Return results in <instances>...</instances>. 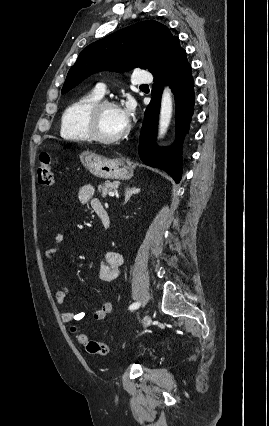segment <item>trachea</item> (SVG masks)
I'll return each instance as SVG.
<instances>
[{"mask_svg": "<svg viewBox=\"0 0 269 426\" xmlns=\"http://www.w3.org/2000/svg\"><path fill=\"white\" fill-rule=\"evenodd\" d=\"M142 87H148V85H144V86H142Z\"/></svg>", "mask_w": 269, "mask_h": 426, "instance_id": "1", "label": "trachea"}]
</instances>
